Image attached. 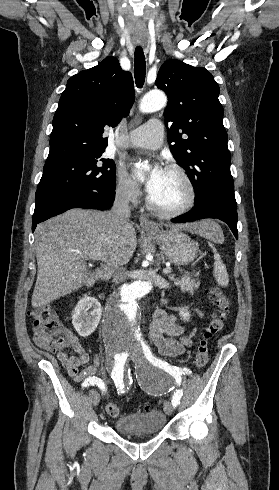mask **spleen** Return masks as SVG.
<instances>
[{"mask_svg":"<svg viewBox=\"0 0 279 490\" xmlns=\"http://www.w3.org/2000/svg\"><path fill=\"white\" fill-rule=\"evenodd\" d=\"M203 230L201 232V236H204V238H208V240H211V242H216V244H222L224 242V236L223 232L219 226V224H216V222H212V220H203L202 222ZM211 248H213L212 244H209ZM214 268H213V274L216 282H218L219 286H228L229 284V278L227 274V270L219 256V254H216V250L214 248Z\"/></svg>","mask_w":279,"mask_h":490,"instance_id":"1","label":"spleen"}]
</instances>
